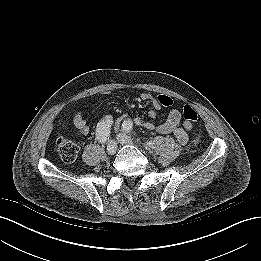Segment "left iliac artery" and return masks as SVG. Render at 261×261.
I'll return each mask as SVG.
<instances>
[{"instance_id":"44dca946","label":"left iliac artery","mask_w":261,"mask_h":261,"mask_svg":"<svg viewBox=\"0 0 261 261\" xmlns=\"http://www.w3.org/2000/svg\"><path fill=\"white\" fill-rule=\"evenodd\" d=\"M132 129H133V123H132V121H130V120H125V121H123V123H122V130L124 131V132H126L127 134H131V132H132ZM150 145H152V143H150ZM153 146V145H152Z\"/></svg>"}]
</instances>
